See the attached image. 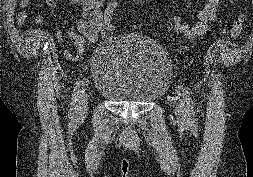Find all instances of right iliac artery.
I'll list each match as a JSON object with an SVG mask.
<instances>
[{"label": "right iliac artery", "mask_w": 253, "mask_h": 177, "mask_svg": "<svg viewBox=\"0 0 253 177\" xmlns=\"http://www.w3.org/2000/svg\"><path fill=\"white\" fill-rule=\"evenodd\" d=\"M85 91V81L81 80L79 82H77L73 93H72V101H71V108H70V115L72 118H74L77 114V110H78V105L77 102L81 96V93H84Z\"/></svg>", "instance_id": "right-iliac-artery-1"}]
</instances>
